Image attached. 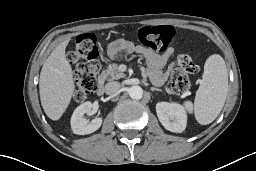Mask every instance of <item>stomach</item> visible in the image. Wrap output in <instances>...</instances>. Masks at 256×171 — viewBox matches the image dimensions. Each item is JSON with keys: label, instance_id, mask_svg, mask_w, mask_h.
<instances>
[{"label": "stomach", "instance_id": "stomach-1", "mask_svg": "<svg viewBox=\"0 0 256 171\" xmlns=\"http://www.w3.org/2000/svg\"><path fill=\"white\" fill-rule=\"evenodd\" d=\"M110 56L111 57H117L116 53H111Z\"/></svg>", "mask_w": 256, "mask_h": 171}]
</instances>
